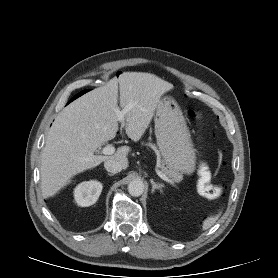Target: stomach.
<instances>
[{
    "label": "stomach",
    "mask_w": 278,
    "mask_h": 278,
    "mask_svg": "<svg viewBox=\"0 0 278 278\" xmlns=\"http://www.w3.org/2000/svg\"><path fill=\"white\" fill-rule=\"evenodd\" d=\"M155 135L164 163L182 174L195 171L196 156L190 133L178 103L164 97L159 100L155 116Z\"/></svg>",
    "instance_id": "stomach-1"
}]
</instances>
